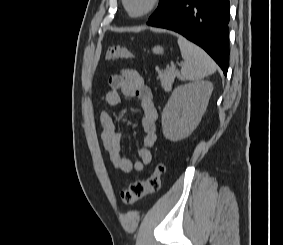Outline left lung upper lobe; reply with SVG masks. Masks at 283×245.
Listing matches in <instances>:
<instances>
[{"label":"left lung upper lobe","mask_w":283,"mask_h":245,"mask_svg":"<svg viewBox=\"0 0 283 245\" xmlns=\"http://www.w3.org/2000/svg\"><path fill=\"white\" fill-rule=\"evenodd\" d=\"M172 2L173 0H160L158 8L149 19H152L161 14Z\"/></svg>","instance_id":"obj_1"}]
</instances>
